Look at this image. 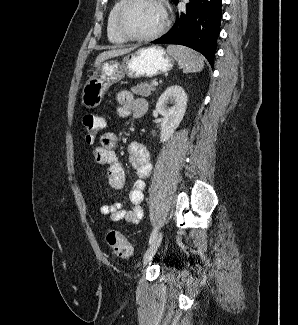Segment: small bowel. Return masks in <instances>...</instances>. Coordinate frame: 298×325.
Instances as JSON below:
<instances>
[{
    "instance_id": "small-bowel-1",
    "label": "small bowel",
    "mask_w": 298,
    "mask_h": 325,
    "mask_svg": "<svg viewBox=\"0 0 298 325\" xmlns=\"http://www.w3.org/2000/svg\"><path fill=\"white\" fill-rule=\"evenodd\" d=\"M119 103V113L127 116L131 111H135L137 104L146 103L142 99H135L129 91H121L117 95ZM118 144L116 134L105 132L100 138V145L94 149L93 155L96 161V169L106 168L109 184L114 189H121L125 183V173L115 153ZM128 160L133 167L136 179L132 182L128 192V199L131 207L124 209L121 202L113 204H103L100 208L102 215L110 216L112 221L124 220L128 223L136 224L143 216L142 202L144 199V189L146 180L152 170L150 156L147 149L140 143L133 142L127 149Z\"/></svg>"
}]
</instances>
